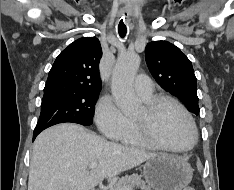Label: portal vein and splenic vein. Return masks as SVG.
<instances>
[{"mask_svg":"<svg viewBox=\"0 0 234 190\" xmlns=\"http://www.w3.org/2000/svg\"><path fill=\"white\" fill-rule=\"evenodd\" d=\"M97 167V163H91L90 165H89V168L90 169H95ZM120 190H132L130 187H126V188H122V189H120Z\"/></svg>","mask_w":234,"mask_h":190,"instance_id":"1","label":"portal vein and splenic vein"}]
</instances>
